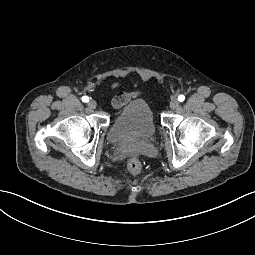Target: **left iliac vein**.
Segmentation results:
<instances>
[{"label":"left iliac vein","instance_id":"4c4485c4","mask_svg":"<svg viewBox=\"0 0 255 255\" xmlns=\"http://www.w3.org/2000/svg\"><path fill=\"white\" fill-rule=\"evenodd\" d=\"M179 107V102L177 99H172L170 102V108L175 110Z\"/></svg>","mask_w":255,"mask_h":255}]
</instances>
